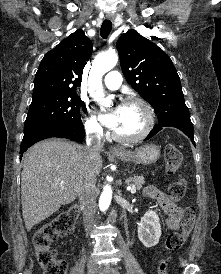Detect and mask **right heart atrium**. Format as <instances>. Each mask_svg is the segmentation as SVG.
Wrapping results in <instances>:
<instances>
[{
	"instance_id": "right-heart-atrium-1",
	"label": "right heart atrium",
	"mask_w": 221,
	"mask_h": 274,
	"mask_svg": "<svg viewBox=\"0 0 221 274\" xmlns=\"http://www.w3.org/2000/svg\"><path fill=\"white\" fill-rule=\"evenodd\" d=\"M84 128L86 133L92 137H100L103 134V128L99 120L90 114L85 117Z\"/></svg>"
}]
</instances>
